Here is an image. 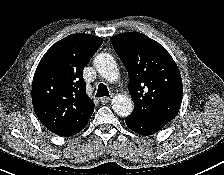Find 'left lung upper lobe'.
<instances>
[{"instance_id":"obj_1","label":"left lung upper lobe","mask_w":224,"mask_h":175,"mask_svg":"<svg viewBox=\"0 0 224 175\" xmlns=\"http://www.w3.org/2000/svg\"><path fill=\"white\" fill-rule=\"evenodd\" d=\"M125 65L134 103L130 117L170 122L179 112L183 85L177 65L158 42L139 32L110 39Z\"/></svg>"}]
</instances>
